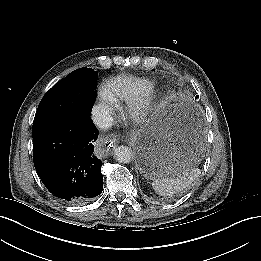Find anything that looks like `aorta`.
Instances as JSON below:
<instances>
[{
  "instance_id": "762f6f07",
  "label": "aorta",
  "mask_w": 261,
  "mask_h": 261,
  "mask_svg": "<svg viewBox=\"0 0 261 261\" xmlns=\"http://www.w3.org/2000/svg\"><path fill=\"white\" fill-rule=\"evenodd\" d=\"M114 158L119 163H129L133 158V152L129 147L121 145L115 149Z\"/></svg>"
}]
</instances>
